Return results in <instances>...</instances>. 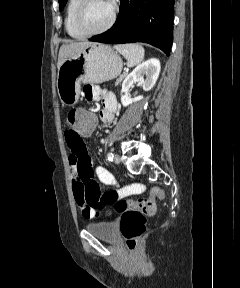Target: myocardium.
<instances>
[{
  "mask_svg": "<svg viewBox=\"0 0 240 288\" xmlns=\"http://www.w3.org/2000/svg\"><path fill=\"white\" fill-rule=\"evenodd\" d=\"M88 2H89V0H80V3L76 9L75 18H74L76 28L85 36H93V35H98V34H101L103 32H106L108 29H110L112 27V25L115 22L116 14H117L116 3L114 1H111V4H112L111 15H110L109 20L107 21V23L103 27H101L100 29H97V30H88L84 27L83 22H82L83 13H84V10H85Z\"/></svg>",
  "mask_w": 240,
  "mask_h": 288,
  "instance_id": "obj_1",
  "label": "myocardium"
}]
</instances>
